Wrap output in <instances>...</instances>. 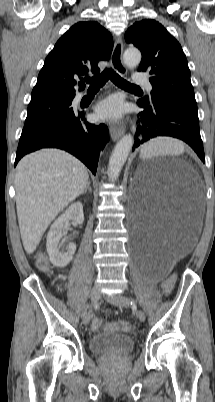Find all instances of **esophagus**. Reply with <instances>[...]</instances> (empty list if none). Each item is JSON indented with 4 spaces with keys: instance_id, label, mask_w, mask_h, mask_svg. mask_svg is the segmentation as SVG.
Masks as SVG:
<instances>
[{
    "instance_id": "obj_1",
    "label": "esophagus",
    "mask_w": 215,
    "mask_h": 402,
    "mask_svg": "<svg viewBox=\"0 0 215 402\" xmlns=\"http://www.w3.org/2000/svg\"><path fill=\"white\" fill-rule=\"evenodd\" d=\"M123 42L117 40L114 44V48L111 55V65L113 69L120 75L125 76L127 69L122 60ZM124 133L123 125H112L110 127V135L113 141L118 140Z\"/></svg>"
}]
</instances>
